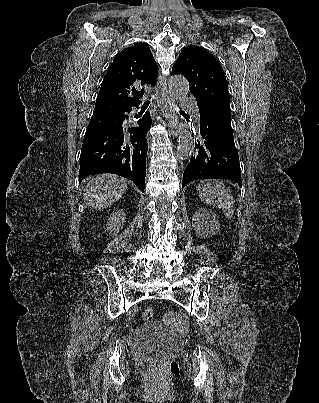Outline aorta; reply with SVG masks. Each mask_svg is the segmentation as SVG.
<instances>
[{"label": "aorta", "instance_id": "aorta-1", "mask_svg": "<svg viewBox=\"0 0 319 403\" xmlns=\"http://www.w3.org/2000/svg\"><path fill=\"white\" fill-rule=\"evenodd\" d=\"M169 90L174 98L183 100L189 92L187 80L182 76H172L168 82ZM194 149V138L188 128H183L179 134L177 156L180 159H187Z\"/></svg>", "mask_w": 319, "mask_h": 403}]
</instances>
